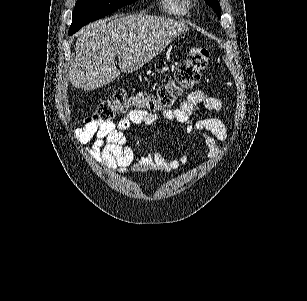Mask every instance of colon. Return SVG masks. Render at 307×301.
<instances>
[{"label":"colon","mask_w":307,"mask_h":301,"mask_svg":"<svg viewBox=\"0 0 307 301\" xmlns=\"http://www.w3.org/2000/svg\"><path fill=\"white\" fill-rule=\"evenodd\" d=\"M208 62L209 51L206 48H191L186 59L178 66L174 78L159 87L155 95L143 92L129 95L125 91H117L112 100H103L98 104L93 114L86 118L85 124L111 122L132 110L155 112L170 108L184 90L199 82Z\"/></svg>","instance_id":"5ec220e1"}]
</instances>
